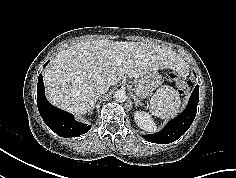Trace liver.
Here are the masks:
<instances>
[{"instance_id": "1", "label": "liver", "mask_w": 236, "mask_h": 178, "mask_svg": "<svg viewBox=\"0 0 236 178\" xmlns=\"http://www.w3.org/2000/svg\"><path fill=\"white\" fill-rule=\"evenodd\" d=\"M117 58L122 59L119 65ZM182 65L180 56L164 46L102 39L76 43L61 51L43 79L48 100L80 116L94 106L99 83L112 86L125 75L138 78L165 68L180 70Z\"/></svg>"}]
</instances>
